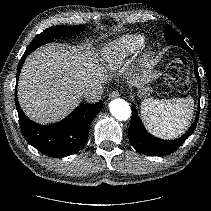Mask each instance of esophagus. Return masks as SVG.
Wrapping results in <instances>:
<instances>
[{"label": "esophagus", "instance_id": "obj_1", "mask_svg": "<svg viewBox=\"0 0 211 211\" xmlns=\"http://www.w3.org/2000/svg\"><path fill=\"white\" fill-rule=\"evenodd\" d=\"M120 96V93L118 91H113L110 95L109 98H117Z\"/></svg>", "mask_w": 211, "mask_h": 211}]
</instances>
